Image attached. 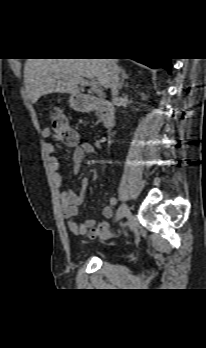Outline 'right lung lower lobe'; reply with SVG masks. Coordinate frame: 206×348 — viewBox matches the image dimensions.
Instances as JSON below:
<instances>
[{"label":"right lung lower lobe","mask_w":206,"mask_h":348,"mask_svg":"<svg viewBox=\"0 0 206 348\" xmlns=\"http://www.w3.org/2000/svg\"><path fill=\"white\" fill-rule=\"evenodd\" d=\"M142 64H145L151 68H166L170 72V58H146V59H134Z\"/></svg>","instance_id":"right-lung-lower-lobe-1"}]
</instances>
